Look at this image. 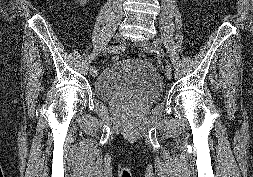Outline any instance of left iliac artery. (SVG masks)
Returning a JSON list of instances; mask_svg holds the SVG:
<instances>
[{"label":"left iliac artery","mask_w":253,"mask_h":177,"mask_svg":"<svg viewBox=\"0 0 253 177\" xmlns=\"http://www.w3.org/2000/svg\"><path fill=\"white\" fill-rule=\"evenodd\" d=\"M153 45H154L155 51H156L155 56L157 57V62L165 64L166 66H169L171 68L172 62L164 59V57L166 56V53L163 52V50L160 47L162 45V40L155 39L153 41Z\"/></svg>","instance_id":"obj_1"}]
</instances>
